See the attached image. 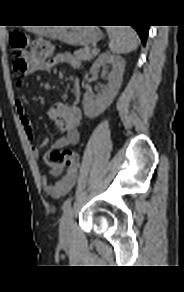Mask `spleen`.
<instances>
[{
    "mask_svg": "<svg viewBox=\"0 0 184 292\" xmlns=\"http://www.w3.org/2000/svg\"><path fill=\"white\" fill-rule=\"evenodd\" d=\"M109 48L114 54H126L138 48V35L129 26L108 27Z\"/></svg>",
    "mask_w": 184,
    "mask_h": 292,
    "instance_id": "3e777b00",
    "label": "spleen"
}]
</instances>
